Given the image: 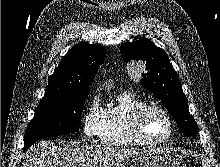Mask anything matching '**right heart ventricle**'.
<instances>
[{
	"label": "right heart ventricle",
	"mask_w": 220,
	"mask_h": 167,
	"mask_svg": "<svg viewBox=\"0 0 220 167\" xmlns=\"http://www.w3.org/2000/svg\"><path fill=\"white\" fill-rule=\"evenodd\" d=\"M146 104V101L129 91L121 92L116 104L105 110L100 142L109 146L142 144L135 136L131 123L136 110Z\"/></svg>",
	"instance_id": "1"
}]
</instances>
